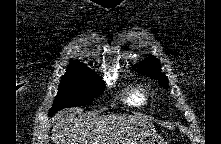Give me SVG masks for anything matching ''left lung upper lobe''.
Returning a JSON list of instances; mask_svg holds the SVG:
<instances>
[{
	"label": "left lung upper lobe",
	"instance_id": "obj_1",
	"mask_svg": "<svg viewBox=\"0 0 221 144\" xmlns=\"http://www.w3.org/2000/svg\"><path fill=\"white\" fill-rule=\"evenodd\" d=\"M133 68L137 72L143 73L153 79L158 80L163 87H168L167 76L161 73L160 62L155 57H147L145 60L140 62V64L137 65V67L134 66Z\"/></svg>",
	"mask_w": 221,
	"mask_h": 144
}]
</instances>
